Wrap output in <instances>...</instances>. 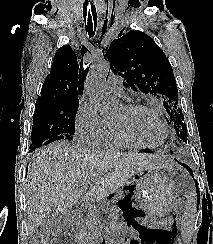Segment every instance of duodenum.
<instances>
[{
	"label": "duodenum",
	"instance_id": "obj_1",
	"mask_svg": "<svg viewBox=\"0 0 213 244\" xmlns=\"http://www.w3.org/2000/svg\"><path fill=\"white\" fill-rule=\"evenodd\" d=\"M77 213H72L70 217H76ZM95 244H107L106 237L104 235H97Z\"/></svg>",
	"mask_w": 213,
	"mask_h": 244
}]
</instances>
